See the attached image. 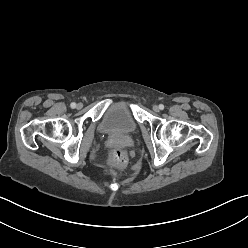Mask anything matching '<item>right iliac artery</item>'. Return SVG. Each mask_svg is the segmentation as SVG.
Masks as SVG:
<instances>
[{
    "instance_id": "1",
    "label": "right iliac artery",
    "mask_w": 248,
    "mask_h": 248,
    "mask_svg": "<svg viewBox=\"0 0 248 248\" xmlns=\"http://www.w3.org/2000/svg\"><path fill=\"white\" fill-rule=\"evenodd\" d=\"M70 106H71V108H75L76 107V103L73 102V103H71Z\"/></svg>"
}]
</instances>
